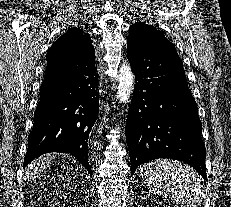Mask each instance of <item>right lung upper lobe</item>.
I'll list each match as a JSON object with an SVG mask.
<instances>
[{"instance_id": "obj_1", "label": "right lung upper lobe", "mask_w": 231, "mask_h": 207, "mask_svg": "<svg viewBox=\"0 0 231 207\" xmlns=\"http://www.w3.org/2000/svg\"><path fill=\"white\" fill-rule=\"evenodd\" d=\"M94 48L88 34L78 28H71L51 46L46 55V69H76L94 56Z\"/></svg>"}]
</instances>
